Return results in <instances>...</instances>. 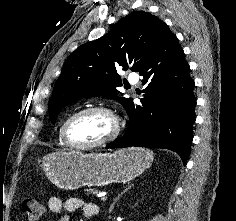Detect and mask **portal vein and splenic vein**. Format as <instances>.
<instances>
[{
	"mask_svg": "<svg viewBox=\"0 0 236 221\" xmlns=\"http://www.w3.org/2000/svg\"><path fill=\"white\" fill-rule=\"evenodd\" d=\"M101 200H102V201H106V200H107V197L103 196V197L101 198Z\"/></svg>",
	"mask_w": 236,
	"mask_h": 221,
	"instance_id": "obj_1",
	"label": "portal vein and splenic vein"
}]
</instances>
